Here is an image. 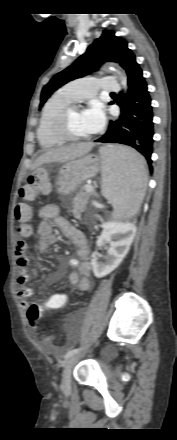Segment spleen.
I'll return each instance as SVG.
<instances>
[{
	"label": "spleen",
	"instance_id": "obj_1",
	"mask_svg": "<svg viewBox=\"0 0 177 440\" xmlns=\"http://www.w3.org/2000/svg\"><path fill=\"white\" fill-rule=\"evenodd\" d=\"M102 194L114 208L113 216L129 218L140 210L147 182L143 157L124 146L101 147Z\"/></svg>",
	"mask_w": 177,
	"mask_h": 440
}]
</instances>
